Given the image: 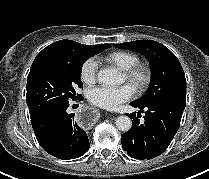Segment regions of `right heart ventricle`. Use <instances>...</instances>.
<instances>
[{"label":"right heart ventricle","instance_id":"1","mask_svg":"<svg viewBox=\"0 0 209 179\" xmlns=\"http://www.w3.org/2000/svg\"><path fill=\"white\" fill-rule=\"evenodd\" d=\"M102 59L106 63L122 71L128 70L139 61V58L136 54L124 50L110 52L106 54Z\"/></svg>","mask_w":209,"mask_h":179}]
</instances>
